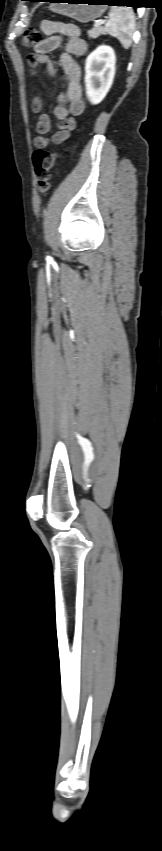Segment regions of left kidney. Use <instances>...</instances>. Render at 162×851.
<instances>
[{"label":"left kidney","mask_w":162,"mask_h":851,"mask_svg":"<svg viewBox=\"0 0 162 851\" xmlns=\"http://www.w3.org/2000/svg\"><path fill=\"white\" fill-rule=\"evenodd\" d=\"M116 56L109 46H99L85 62V86L88 100L100 103L111 88L115 75Z\"/></svg>","instance_id":"left-kidney-1"}]
</instances>
